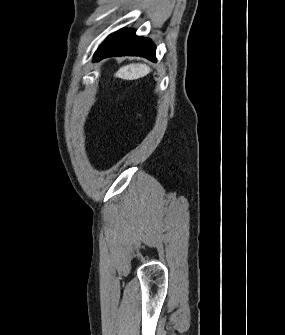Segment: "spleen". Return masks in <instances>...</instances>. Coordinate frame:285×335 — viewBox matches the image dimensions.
Returning <instances> with one entry per match:
<instances>
[{
    "instance_id": "obj_1",
    "label": "spleen",
    "mask_w": 285,
    "mask_h": 335,
    "mask_svg": "<svg viewBox=\"0 0 285 335\" xmlns=\"http://www.w3.org/2000/svg\"><path fill=\"white\" fill-rule=\"evenodd\" d=\"M150 72L149 68L147 66H139V64H132V66H129L128 68V78L129 80H132V78H142V76H146Z\"/></svg>"
}]
</instances>
